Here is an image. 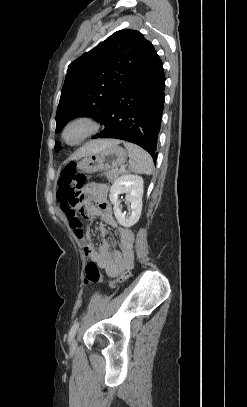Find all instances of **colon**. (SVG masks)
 <instances>
[{
  "label": "colon",
  "mask_w": 247,
  "mask_h": 407,
  "mask_svg": "<svg viewBox=\"0 0 247 407\" xmlns=\"http://www.w3.org/2000/svg\"><path fill=\"white\" fill-rule=\"evenodd\" d=\"M85 175L78 172L74 163H70L62 170L58 180L57 199L61 203L77 202L81 190L85 184ZM130 272L125 271L116 281L121 283L126 280ZM103 281L99 266L94 261H90L85 266V285H95Z\"/></svg>",
  "instance_id": "1"
}]
</instances>
